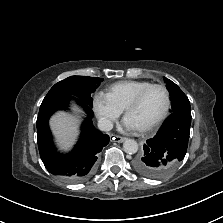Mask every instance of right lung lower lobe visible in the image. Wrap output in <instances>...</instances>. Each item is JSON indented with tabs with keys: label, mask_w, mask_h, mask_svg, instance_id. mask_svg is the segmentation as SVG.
<instances>
[{
	"label": "right lung lower lobe",
	"mask_w": 223,
	"mask_h": 223,
	"mask_svg": "<svg viewBox=\"0 0 223 223\" xmlns=\"http://www.w3.org/2000/svg\"><path fill=\"white\" fill-rule=\"evenodd\" d=\"M71 97L59 99L40 107L37 118V140L40 157L46 169L53 175L69 183L81 182L92 175L98 153L109 143V136L102 134L93 124V112L90 104L81 99L77 103L84 106L88 118L81 127V136L74 150L68 155H62L55 149L48 126L50 116L57 110L66 109Z\"/></svg>",
	"instance_id": "98d812e1"
}]
</instances>
